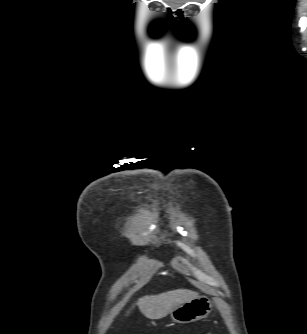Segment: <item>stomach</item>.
I'll return each mask as SVG.
<instances>
[{
	"instance_id": "obj_1",
	"label": "stomach",
	"mask_w": 307,
	"mask_h": 334,
	"mask_svg": "<svg viewBox=\"0 0 307 334\" xmlns=\"http://www.w3.org/2000/svg\"><path fill=\"white\" fill-rule=\"evenodd\" d=\"M211 310L210 299L206 296H198L177 306L170 312V317L176 323H191L207 317Z\"/></svg>"
}]
</instances>
